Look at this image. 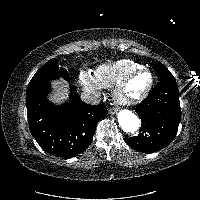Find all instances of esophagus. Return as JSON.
<instances>
[{
	"label": "esophagus",
	"mask_w": 200,
	"mask_h": 200,
	"mask_svg": "<svg viewBox=\"0 0 200 200\" xmlns=\"http://www.w3.org/2000/svg\"><path fill=\"white\" fill-rule=\"evenodd\" d=\"M109 113H110L111 115L116 114V113H117V108H115V107L110 108V109H109Z\"/></svg>",
	"instance_id": "obj_1"
}]
</instances>
